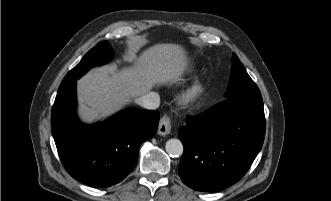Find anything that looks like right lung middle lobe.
I'll list each match as a JSON object with an SVG mask.
<instances>
[{
	"label": "right lung middle lobe",
	"mask_w": 331,
	"mask_h": 201,
	"mask_svg": "<svg viewBox=\"0 0 331 201\" xmlns=\"http://www.w3.org/2000/svg\"><path fill=\"white\" fill-rule=\"evenodd\" d=\"M113 50L108 41H104L92 48L63 79L60 88H64L72 82H75L83 74H85L91 67L101 65L111 60Z\"/></svg>",
	"instance_id": "obj_1"
}]
</instances>
